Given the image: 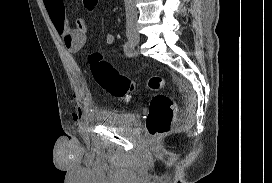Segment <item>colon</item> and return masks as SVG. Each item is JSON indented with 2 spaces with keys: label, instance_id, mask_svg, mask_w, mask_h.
Here are the masks:
<instances>
[{
  "label": "colon",
  "instance_id": "obj_1",
  "mask_svg": "<svg viewBox=\"0 0 272 183\" xmlns=\"http://www.w3.org/2000/svg\"><path fill=\"white\" fill-rule=\"evenodd\" d=\"M99 0H83L87 9H94ZM91 72L95 81L108 93L117 99L127 100L136 87V82L119 73L110 63L103 60L99 53L90 57ZM166 85V81L159 75L151 76L147 86L158 91ZM176 106L173 100L161 93L155 94L149 105L146 120V130L151 138H159L167 134L173 125Z\"/></svg>",
  "mask_w": 272,
  "mask_h": 183
}]
</instances>
